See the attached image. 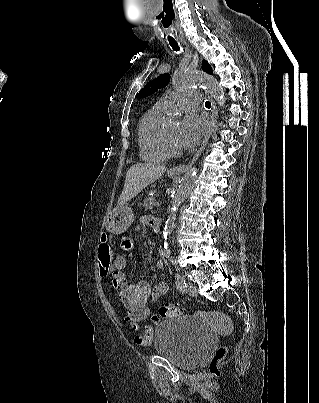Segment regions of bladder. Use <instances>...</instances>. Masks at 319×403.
<instances>
[{"label": "bladder", "mask_w": 319, "mask_h": 403, "mask_svg": "<svg viewBox=\"0 0 319 403\" xmlns=\"http://www.w3.org/2000/svg\"><path fill=\"white\" fill-rule=\"evenodd\" d=\"M215 345L214 333L202 320L192 316L163 320L154 333L155 352L183 369L199 365Z\"/></svg>", "instance_id": "bladder-1"}]
</instances>
